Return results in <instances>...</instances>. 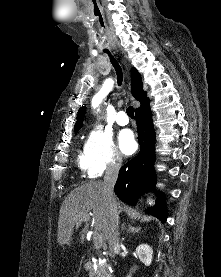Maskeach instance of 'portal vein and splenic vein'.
<instances>
[{
	"label": "portal vein and splenic vein",
	"instance_id": "portal-vein-and-splenic-vein-1",
	"mask_svg": "<svg viewBox=\"0 0 221 277\" xmlns=\"http://www.w3.org/2000/svg\"><path fill=\"white\" fill-rule=\"evenodd\" d=\"M90 220V217L89 216H86V217H83L81 219H79L77 221V225H80L82 222H88ZM103 244V235L100 233V234H96L94 236V245L96 248H99L101 247Z\"/></svg>",
	"mask_w": 221,
	"mask_h": 277
}]
</instances>
